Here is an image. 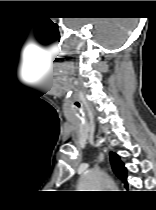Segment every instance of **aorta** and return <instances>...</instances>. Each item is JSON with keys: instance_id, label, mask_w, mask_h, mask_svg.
<instances>
[{"instance_id": "aorta-1", "label": "aorta", "mask_w": 156, "mask_h": 210, "mask_svg": "<svg viewBox=\"0 0 156 210\" xmlns=\"http://www.w3.org/2000/svg\"><path fill=\"white\" fill-rule=\"evenodd\" d=\"M113 187V181L108 175L101 172L86 171L79 180V189H82V191H102Z\"/></svg>"}]
</instances>
